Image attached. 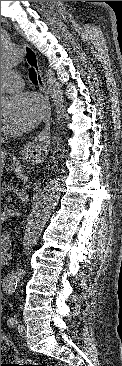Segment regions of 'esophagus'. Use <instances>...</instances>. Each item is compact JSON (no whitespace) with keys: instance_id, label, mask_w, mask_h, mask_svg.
Segmentation results:
<instances>
[{"instance_id":"obj_1","label":"esophagus","mask_w":122,"mask_h":366,"mask_svg":"<svg viewBox=\"0 0 122 366\" xmlns=\"http://www.w3.org/2000/svg\"><path fill=\"white\" fill-rule=\"evenodd\" d=\"M25 58L27 63L34 68L37 74V80L41 91L44 93L46 104L45 127L38 135V140L25 146L24 152L31 155L39 150H46L50 145V123H51V105L48 91L44 82L43 74L39 66L38 57L34 50L27 44H23Z\"/></svg>"}]
</instances>
